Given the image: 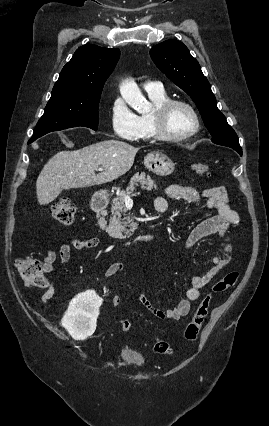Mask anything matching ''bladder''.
I'll list each match as a JSON object with an SVG mask.
<instances>
[{
  "mask_svg": "<svg viewBox=\"0 0 269 426\" xmlns=\"http://www.w3.org/2000/svg\"><path fill=\"white\" fill-rule=\"evenodd\" d=\"M121 356L126 363L132 365H141L145 360L144 355L141 352L132 348L123 349Z\"/></svg>",
  "mask_w": 269,
  "mask_h": 426,
  "instance_id": "31cf9c89",
  "label": "bladder"
}]
</instances>
